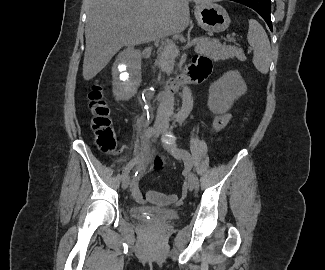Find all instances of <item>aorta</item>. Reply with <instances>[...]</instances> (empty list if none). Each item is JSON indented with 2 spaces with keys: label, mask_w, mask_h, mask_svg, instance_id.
I'll use <instances>...</instances> for the list:
<instances>
[{
  "label": "aorta",
  "mask_w": 325,
  "mask_h": 270,
  "mask_svg": "<svg viewBox=\"0 0 325 270\" xmlns=\"http://www.w3.org/2000/svg\"><path fill=\"white\" fill-rule=\"evenodd\" d=\"M193 108V97L191 90L188 86L182 87V107L178 112L179 118H186Z\"/></svg>",
  "instance_id": "aorta-1"
}]
</instances>
